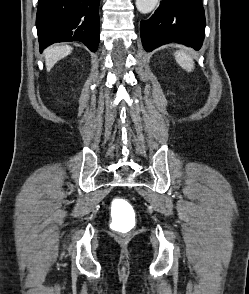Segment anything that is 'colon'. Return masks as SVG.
<instances>
[{
	"label": "colon",
	"mask_w": 249,
	"mask_h": 294,
	"mask_svg": "<svg viewBox=\"0 0 249 294\" xmlns=\"http://www.w3.org/2000/svg\"><path fill=\"white\" fill-rule=\"evenodd\" d=\"M111 206L115 212L111 222V228L118 233H128L134 227V221L129 214L124 213L128 209L127 201L123 198H115Z\"/></svg>",
	"instance_id": "5ec220e1"
}]
</instances>
